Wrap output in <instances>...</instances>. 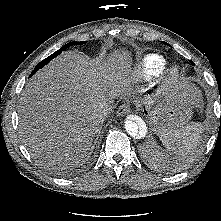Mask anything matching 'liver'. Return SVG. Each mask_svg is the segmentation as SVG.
Segmentation results:
<instances>
[{
  "mask_svg": "<svg viewBox=\"0 0 221 221\" xmlns=\"http://www.w3.org/2000/svg\"><path fill=\"white\" fill-rule=\"evenodd\" d=\"M130 74L126 52L93 62L68 51L38 72L18 109L19 131L32 156L63 166L83 162L105 118L101 106L129 92ZM183 96L194 102L198 90L184 85Z\"/></svg>",
  "mask_w": 221,
  "mask_h": 221,
  "instance_id": "6515ba94",
  "label": "liver"
}]
</instances>
